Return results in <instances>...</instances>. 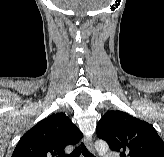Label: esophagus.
Instances as JSON below:
<instances>
[{"label":"esophagus","instance_id":"34e87169","mask_svg":"<svg viewBox=\"0 0 164 157\" xmlns=\"http://www.w3.org/2000/svg\"><path fill=\"white\" fill-rule=\"evenodd\" d=\"M85 144H86L88 150H89L93 155H95V150H94L93 141H92L90 138L86 137V138H85Z\"/></svg>","mask_w":164,"mask_h":157}]
</instances>
